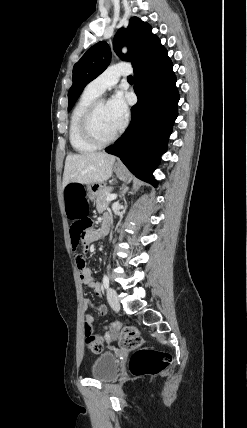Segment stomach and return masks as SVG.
Returning a JSON list of instances; mask_svg holds the SVG:
<instances>
[{
	"instance_id": "obj_1",
	"label": "stomach",
	"mask_w": 247,
	"mask_h": 428,
	"mask_svg": "<svg viewBox=\"0 0 247 428\" xmlns=\"http://www.w3.org/2000/svg\"><path fill=\"white\" fill-rule=\"evenodd\" d=\"M114 171L119 179L125 180L127 178V172L124 167L116 165L114 167ZM101 187H102V184L100 183L88 184L87 186L88 198L92 201L95 200L97 197L98 190Z\"/></svg>"
}]
</instances>
